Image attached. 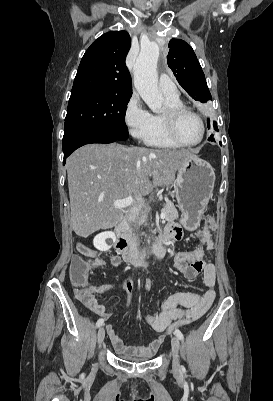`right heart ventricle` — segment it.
I'll return each instance as SVG.
<instances>
[{
  "mask_svg": "<svg viewBox=\"0 0 273 401\" xmlns=\"http://www.w3.org/2000/svg\"><path fill=\"white\" fill-rule=\"evenodd\" d=\"M167 105H183L180 95L173 97L165 96ZM149 146L162 148H180L181 146L175 143L167 134L161 114L152 115L151 127L147 137L144 139Z\"/></svg>",
  "mask_w": 273,
  "mask_h": 401,
  "instance_id": "right-heart-ventricle-1",
  "label": "right heart ventricle"
}]
</instances>
